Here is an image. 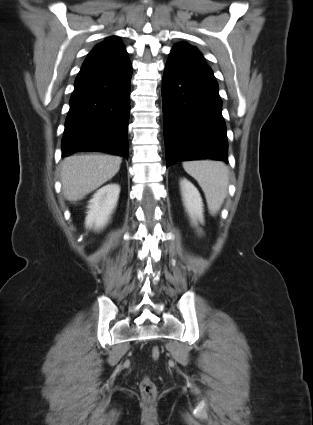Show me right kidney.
<instances>
[{"label": "right kidney", "instance_id": "1", "mask_svg": "<svg viewBox=\"0 0 313 425\" xmlns=\"http://www.w3.org/2000/svg\"><path fill=\"white\" fill-rule=\"evenodd\" d=\"M120 186L118 184H108L99 189L89 201L88 212L85 218L86 228L99 230L103 228L110 219L117 205Z\"/></svg>", "mask_w": 313, "mask_h": 425}]
</instances>
